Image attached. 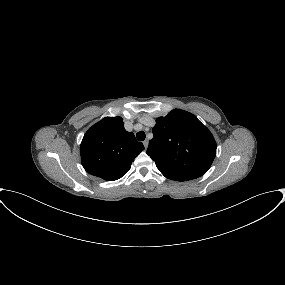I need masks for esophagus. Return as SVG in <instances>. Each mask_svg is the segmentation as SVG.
Wrapping results in <instances>:
<instances>
[{"mask_svg":"<svg viewBox=\"0 0 285 285\" xmlns=\"http://www.w3.org/2000/svg\"><path fill=\"white\" fill-rule=\"evenodd\" d=\"M143 145H144L145 150H146L148 148V141L147 140L143 141Z\"/></svg>","mask_w":285,"mask_h":285,"instance_id":"obj_1","label":"esophagus"}]
</instances>
